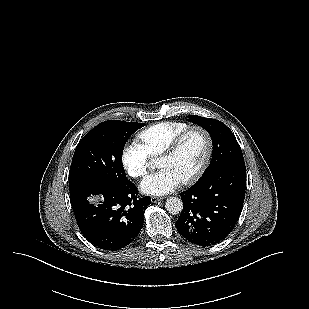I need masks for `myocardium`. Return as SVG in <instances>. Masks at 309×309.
Returning <instances> with one entry per match:
<instances>
[{
    "label": "myocardium",
    "mask_w": 309,
    "mask_h": 309,
    "mask_svg": "<svg viewBox=\"0 0 309 309\" xmlns=\"http://www.w3.org/2000/svg\"><path fill=\"white\" fill-rule=\"evenodd\" d=\"M195 131L200 132L205 138L206 154L200 167L191 176L183 180L184 184H191L197 181L204 174L207 167L209 166L213 154V140L210 133L201 126H191L181 132L161 154L162 157H170L175 155L180 149L185 139Z\"/></svg>",
    "instance_id": "myocardium-1"
}]
</instances>
